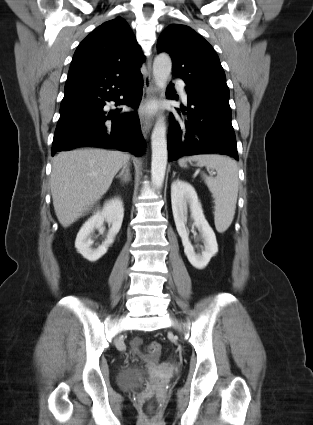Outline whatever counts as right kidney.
<instances>
[{
    "instance_id": "obj_1",
    "label": "right kidney",
    "mask_w": 313,
    "mask_h": 425,
    "mask_svg": "<svg viewBox=\"0 0 313 425\" xmlns=\"http://www.w3.org/2000/svg\"><path fill=\"white\" fill-rule=\"evenodd\" d=\"M124 217L123 202L120 198H114L107 201L103 209L96 212L81 227L77 234L75 247L77 251L91 262L97 261L108 250V247L114 242V238L119 232ZM104 220L111 224L106 240L97 248L92 249V234L94 229L102 227Z\"/></svg>"
}]
</instances>
